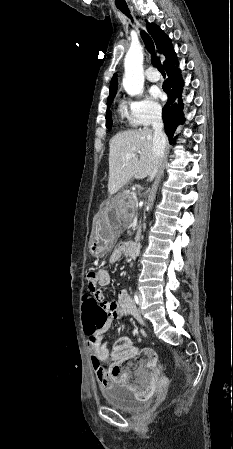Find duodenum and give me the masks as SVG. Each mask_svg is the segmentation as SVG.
Masks as SVG:
<instances>
[{"instance_id":"1","label":"duodenum","mask_w":233,"mask_h":449,"mask_svg":"<svg viewBox=\"0 0 233 449\" xmlns=\"http://www.w3.org/2000/svg\"><path fill=\"white\" fill-rule=\"evenodd\" d=\"M124 249L126 252H128L131 256H138L139 254V244L135 241H129L125 244Z\"/></svg>"}]
</instances>
